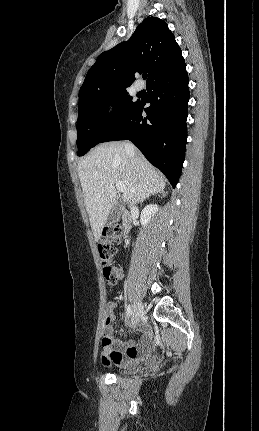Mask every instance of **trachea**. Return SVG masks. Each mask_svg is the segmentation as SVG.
<instances>
[{"instance_id": "trachea-1", "label": "trachea", "mask_w": 259, "mask_h": 431, "mask_svg": "<svg viewBox=\"0 0 259 431\" xmlns=\"http://www.w3.org/2000/svg\"><path fill=\"white\" fill-rule=\"evenodd\" d=\"M142 76H143V79L147 78V74H143Z\"/></svg>"}]
</instances>
